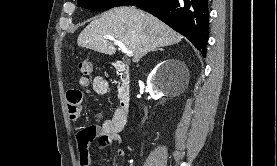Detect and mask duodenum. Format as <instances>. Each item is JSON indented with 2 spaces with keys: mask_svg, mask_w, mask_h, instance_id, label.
I'll return each instance as SVG.
<instances>
[{
  "mask_svg": "<svg viewBox=\"0 0 277 166\" xmlns=\"http://www.w3.org/2000/svg\"><path fill=\"white\" fill-rule=\"evenodd\" d=\"M117 79L120 83V94H119V107L118 112L120 118L127 122L129 117L131 92H130V76L129 69L126 64L121 61L114 63Z\"/></svg>",
  "mask_w": 277,
  "mask_h": 166,
  "instance_id": "obj_1",
  "label": "duodenum"
}]
</instances>
